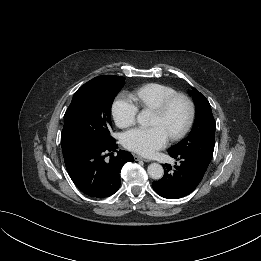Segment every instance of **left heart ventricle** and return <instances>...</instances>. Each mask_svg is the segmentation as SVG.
<instances>
[{"instance_id":"obj_1","label":"left heart ventricle","mask_w":261,"mask_h":261,"mask_svg":"<svg viewBox=\"0 0 261 261\" xmlns=\"http://www.w3.org/2000/svg\"><path fill=\"white\" fill-rule=\"evenodd\" d=\"M187 105L183 101H177L165 116L153 113L152 126H160L170 136L182 128L187 119Z\"/></svg>"}]
</instances>
